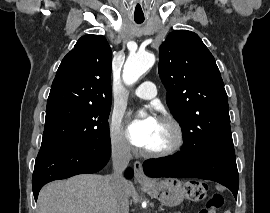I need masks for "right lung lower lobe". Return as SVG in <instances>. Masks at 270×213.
<instances>
[{
	"mask_svg": "<svg viewBox=\"0 0 270 213\" xmlns=\"http://www.w3.org/2000/svg\"><path fill=\"white\" fill-rule=\"evenodd\" d=\"M110 154V139L80 146L41 147L32 178L35 200L40 189L48 182L101 170L107 164ZM126 175L131 177L132 171L127 170Z\"/></svg>",
	"mask_w": 270,
	"mask_h": 213,
	"instance_id": "obj_1",
	"label": "right lung lower lobe"
}]
</instances>
